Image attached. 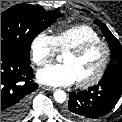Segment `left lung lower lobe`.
Wrapping results in <instances>:
<instances>
[{"label":"left lung lower lobe","instance_id":"0a47b994","mask_svg":"<svg viewBox=\"0 0 122 122\" xmlns=\"http://www.w3.org/2000/svg\"><path fill=\"white\" fill-rule=\"evenodd\" d=\"M122 95V74L102 78L88 91L69 93L63 114L76 122H86L108 114Z\"/></svg>","mask_w":122,"mask_h":122}]
</instances>
